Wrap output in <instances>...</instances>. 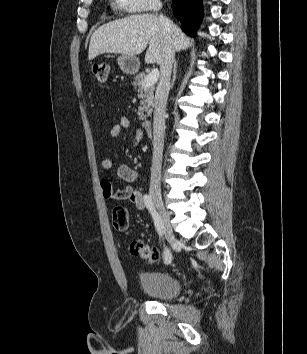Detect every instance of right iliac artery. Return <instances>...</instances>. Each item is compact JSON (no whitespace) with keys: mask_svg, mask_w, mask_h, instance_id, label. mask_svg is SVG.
<instances>
[{"mask_svg":"<svg viewBox=\"0 0 307 354\" xmlns=\"http://www.w3.org/2000/svg\"><path fill=\"white\" fill-rule=\"evenodd\" d=\"M144 202L150 214L152 215L157 232L159 233L160 237H162L163 235L162 221L158 212L156 211V208L154 206V203L152 202L151 197L148 194L144 195ZM171 261H172V254L170 250L167 247H165L164 263L169 264Z\"/></svg>","mask_w":307,"mask_h":354,"instance_id":"obj_1","label":"right iliac artery"}]
</instances>
